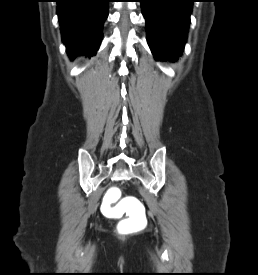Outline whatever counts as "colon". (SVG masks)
Instances as JSON below:
<instances>
[{
    "mask_svg": "<svg viewBox=\"0 0 258 275\" xmlns=\"http://www.w3.org/2000/svg\"><path fill=\"white\" fill-rule=\"evenodd\" d=\"M108 197L110 198V200L112 201H116L120 198V190L118 188H111L108 191Z\"/></svg>",
    "mask_w": 258,
    "mask_h": 275,
    "instance_id": "1",
    "label": "colon"
}]
</instances>
